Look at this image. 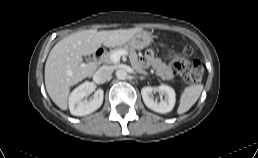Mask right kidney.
I'll return each instance as SVG.
<instances>
[{
  "instance_id": "1",
  "label": "right kidney",
  "mask_w": 258,
  "mask_h": 158,
  "mask_svg": "<svg viewBox=\"0 0 258 158\" xmlns=\"http://www.w3.org/2000/svg\"><path fill=\"white\" fill-rule=\"evenodd\" d=\"M92 87L90 82H84L72 91L69 96V110L72 115L85 116L100 108L104 96L102 89L96 90L89 102L83 101V98L90 94Z\"/></svg>"
}]
</instances>
